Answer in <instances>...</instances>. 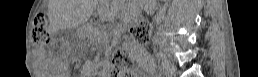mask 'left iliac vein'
I'll list each match as a JSON object with an SVG mask.
<instances>
[{
	"label": "left iliac vein",
	"mask_w": 258,
	"mask_h": 77,
	"mask_svg": "<svg viewBox=\"0 0 258 77\" xmlns=\"http://www.w3.org/2000/svg\"><path fill=\"white\" fill-rule=\"evenodd\" d=\"M162 71L166 76H173L175 74L176 67L172 61L163 59Z\"/></svg>",
	"instance_id": "obj_1"
}]
</instances>
